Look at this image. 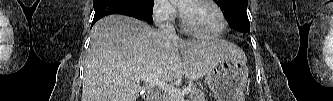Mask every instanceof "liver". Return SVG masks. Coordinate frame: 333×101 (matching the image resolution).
<instances>
[{
    "label": "liver",
    "mask_w": 333,
    "mask_h": 101,
    "mask_svg": "<svg viewBox=\"0 0 333 101\" xmlns=\"http://www.w3.org/2000/svg\"><path fill=\"white\" fill-rule=\"evenodd\" d=\"M234 47L225 41L173 40L143 21L104 17L91 32L82 101H136L144 75L164 82L200 79Z\"/></svg>",
    "instance_id": "6515ba94"
}]
</instances>
